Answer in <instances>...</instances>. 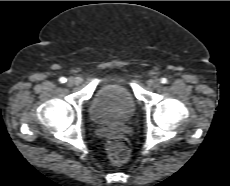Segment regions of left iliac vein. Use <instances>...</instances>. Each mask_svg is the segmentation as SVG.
Masks as SVG:
<instances>
[{
	"mask_svg": "<svg viewBox=\"0 0 230 186\" xmlns=\"http://www.w3.org/2000/svg\"><path fill=\"white\" fill-rule=\"evenodd\" d=\"M160 80L159 79H154V80H152L151 81V86L153 87V88H158L159 86H160Z\"/></svg>",
	"mask_w": 230,
	"mask_h": 186,
	"instance_id": "obj_1",
	"label": "left iliac vein"
}]
</instances>
